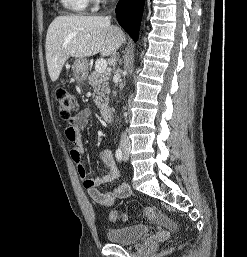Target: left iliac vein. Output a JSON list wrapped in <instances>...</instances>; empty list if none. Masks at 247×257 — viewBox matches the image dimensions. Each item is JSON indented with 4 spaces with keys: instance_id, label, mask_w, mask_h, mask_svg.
<instances>
[{
    "instance_id": "obj_1",
    "label": "left iliac vein",
    "mask_w": 247,
    "mask_h": 257,
    "mask_svg": "<svg viewBox=\"0 0 247 257\" xmlns=\"http://www.w3.org/2000/svg\"><path fill=\"white\" fill-rule=\"evenodd\" d=\"M125 161L127 160V156L124 157Z\"/></svg>"
}]
</instances>
